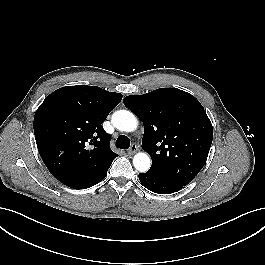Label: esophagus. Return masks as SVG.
Returning <instances> with one entry per match:
<instances>
[{"label":"esophagus","instance_id":"obj_1","mask_svg":"<svg viewBox=\"0 0 265 265\" xmlns=\"http://www.w3.org/2000/svg\"><path fill=\"white\" fill-rule=\"evenodd\" d=\"M138 150L137 145L136 144H132L130 149L127 151L128 155H133L134 153H136Z\"/></svg>","mask_w":265,"mask_h":265}]
</instances>
